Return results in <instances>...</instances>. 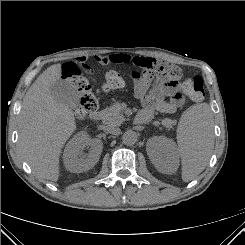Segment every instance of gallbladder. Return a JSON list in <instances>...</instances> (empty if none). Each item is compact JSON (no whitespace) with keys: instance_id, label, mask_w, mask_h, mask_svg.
Returning a JSON list of instances; mask_svg holds the SVG:
<instances>
[{"instance_id":"gallbladder-1","label":"gallbladder","mask_w":245,"mask_h":245,"mask_svg":"<svg viewBox=\"0 0 245 245\" xmlns=\"http://www.w3.org/2000/svg\"><path fill=\"white\" fill-rule=\"evenodd\" d=\"M50 91L57 101L74 109L80 102V94L68 80H58L51 87Z\"/></svg>"}]
</instances>
